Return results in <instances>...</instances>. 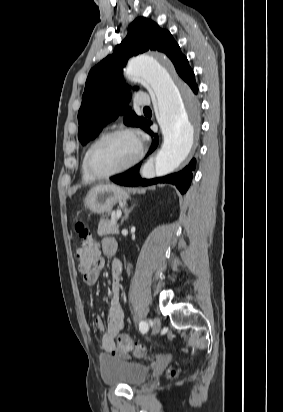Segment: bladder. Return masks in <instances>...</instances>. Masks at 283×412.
Listing matches in <instances>:
<instances>
[{
  "mask_svg": "<svg viewBox=\"0 0 283 412\" xmlns=\"http://www.w3.org/2000/svg\"><path fill=\"white\" fill-rule=\"evenodd\" d=\"M100 376L108 386L138 387L148 378V367L129 360L103 357L99 363Z\"/></svg>",
  "mask_w": 283,
  "mask_h": 412,
  "instance_id": "1",
  "label": "bladder"
}]
</instances>
